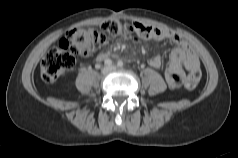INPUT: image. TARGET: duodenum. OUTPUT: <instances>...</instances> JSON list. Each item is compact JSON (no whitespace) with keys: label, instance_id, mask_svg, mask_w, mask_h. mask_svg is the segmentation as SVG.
<instances>
[{"label":"duodenum","instance_id":"1","mask_svg":"<svg viewBox=\"0 0 238 158\" xmlns=\"http://www.w3.org/2000/svg\"><path fill=\"white\" fill-rule=\"evenodd\" d=\"M109 55L107 53H102L98 56V60H102V59H105L107 58Z\"/></svg>","mask_w":238,"mask_h":158}]
</instances>
